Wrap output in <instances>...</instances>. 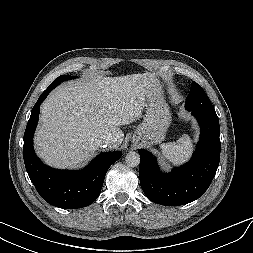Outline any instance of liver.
I'll return each mask as SVG.
<instances>
[{"instance_id":"1","label":"liver","mask_w":253,"mask_h":253,"mask_svg":"<svg viewBox=\"0 0 253 253\" xmlns=\"http://www.w3.org/2000/svg\"><path fill=\"white\" fill-rule=\"evenodd\" d=\"M160 85L155 74L94 76L69 81L53 90L41 105L34 137L37 155L55 168H74L103 146L118 148L124 133L119 126L136 121L146 94Z\"/></svg>"}]
</instances>
